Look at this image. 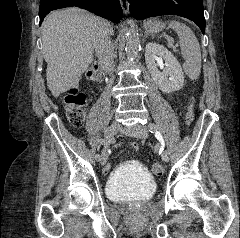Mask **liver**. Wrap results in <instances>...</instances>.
Segmentation results:
<instances>
[{
  "mask_svg": "<svg viewBox=\"0 0 240 238\" xmlns=\"http://www.w3.org/2000/svg\"><path fill=\"white\" fill-rule=\"evenodd\" d=\"M100 22L113 33L107 21L77 8L53 11L43 22L42 50L47 86L53 96L79 85L93 61L94 35Z\"/></svg>",
  "mask_w": 240,
  "mask_h": 238,
  "instance_id": "obj_1",
  "label": "liver"
}]
</instances>
